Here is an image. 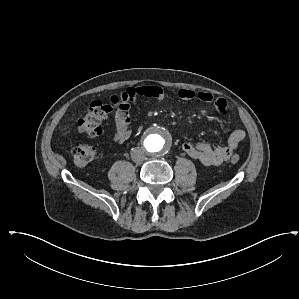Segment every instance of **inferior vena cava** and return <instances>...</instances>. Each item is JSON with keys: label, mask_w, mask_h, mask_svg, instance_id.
I'll return each instance as SVG.
<instances>
[{"label": "inferior vena cava", "mask_w": 299, "mask_h": 299, "mask_svg": "<svg viewBox=\"0 0 299 299\" xmlns=\"http://www.w3.org/2000/svg\"><path fill=\"white\" fill-rule=\"evenodd\" d=\"M132 160L136 163H141L145 160V151L142 148H134L131 153Z\"/></svg>", "instance_id": "inferior-vena-cava-1"}]
</instances>
